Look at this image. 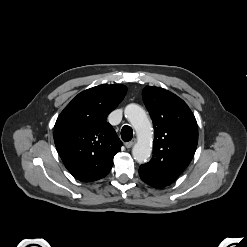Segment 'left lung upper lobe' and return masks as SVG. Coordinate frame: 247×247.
<instances>
[{
  "label": "left lung upper lobe",
  "instance_id": "obj_1",
  "mask_svg": "<svg viewBox=\"0 0 247 247\" xmlns=\"http://www.w3.org/2000/svg\"><path fill=\"white\" fill-rule=\"evenodd\" d=\"M154 125L153 156L139 173L164 187L189 165L198 143L196 119L187 104L172 92L146 86L142 93Z\"/></svg>",
  "mask_w": 247,
  "mask_h": 247
}]
</instances>
